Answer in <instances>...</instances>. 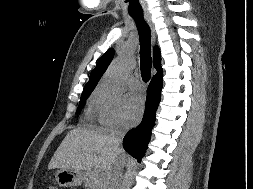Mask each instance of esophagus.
<instances>
[{"label":"esophagus","instance_id":"obj_1","mask_svg":"<svg viewBox=\"0 0 253 189\" xmlns=\"http://www.w3.org/2000/svg\"><path fill=\"white\" fill-rule=\"evenodd\" d=\"M146 22L148 23L150 29H151V33H152V42L155 43V40H156V35H155V29H154V26H153V23H152V20L150 18L149 15H145L144 16Z\"/></svg>","mask_w":253,"mask_h":189}]
</instances>
